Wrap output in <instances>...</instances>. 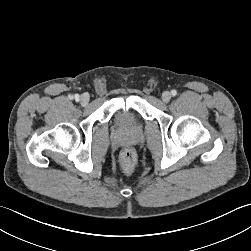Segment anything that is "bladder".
<instances>
[{"label":"bladder","mask_w":251,"mask_h":251,"mask_svg":"<svg viewBox=\"0 0 251 251\" xmlns=\"http://www.w3.org/2000/svg\"><path fill=\"white\" fill-rule=\"evenodd\" d=\"M116 122L122 127H132L134 125L128 115L123 112L117 115Z\"/></svg>","instance_id":"bladder-1"}]
</instances>
